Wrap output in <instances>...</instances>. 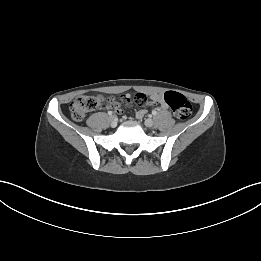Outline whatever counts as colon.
Here are the masks:
<instances>
[{"mask_svg":"<svg viewBox=\"0 0 261 261\" xmlns=\"http://www.w3.org/2000/svg\"><path fill=\"white\" fill-rule=\"evenodd\" d=\"M165 102L180 120L188 119L192 114V106L185 96L178 92L169 91L164 95ZM102 100L101 97L81 95L73 99L70 104V113L75 121H82Z\"/></svg>","mask_w":261,"mask_h":261,"instance_id":"colon-1","label":"colon"}]
</instances>
